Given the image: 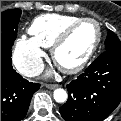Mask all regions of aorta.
Returning <instances> with one entry per match:
<instances>
[{"label": "aorta", "instance_id": "762f6f07", "mask_svg": "<svg viewBox=\"0 0 121 121\" xmlns=\"http://www.w3.org/2000/svg\"><path fill=\"white\" fill-rule=\"evenodd\" d=\"M53 97L56 102L63 103L67 100V93L64 89L58 88L54 91Z\"/></svg>", "mask_w": 121, "mask_h": 121}]
</instances>
